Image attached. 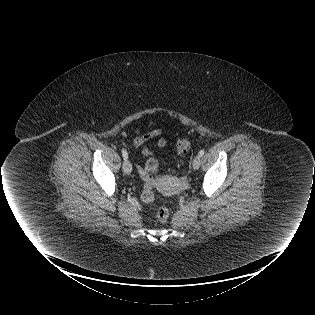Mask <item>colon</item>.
<instances>
[{
	"instance_id": "1",
	"label": "colon",
	"mask_w": 315,
	"mask_h": 315,
	"mask_svg": "<svg viewBox=\"0 0 315 315\" xmlns=\"http://www.w3.org/2000/svg\"><path fill=\"white\" fill-rule=\"evenodd\" d=\"M191 143L188 139H181L176 143V151L179 154H186L190 151ZM159 167V161L155 158H150L144 169L141 171V176L144 181V186L141 192V200L146 204L153 203L155 199L153 187L155 183L154 174ZM156 217L160 223H165L169 217V210L161 207L156 212Z\"/></svg>"
}]
</instances>
